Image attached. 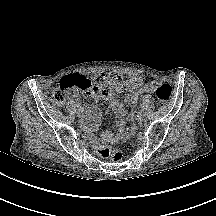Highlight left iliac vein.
Returning a JSON list of instances; mask_svg holds the SVG:
<instances>
[{
    "instance_id": "1",
    "label": "left iliac vein",
    "mask_w": 216,
    "mask_h": 216,
    "mask_svg": "<svg viewBox=\"0 0 216 216\" xmlns=\"http://www.w3.org/2000/svg\"><path fill=\"white\" fill-rule=\"evenodd\" d=\"M144 117H145V114H144V112H142L141 116L139 117L140 121H142V122H143V120H144Z\"/></svg>"
}]
</instances>
